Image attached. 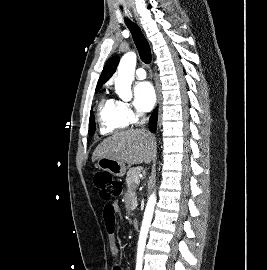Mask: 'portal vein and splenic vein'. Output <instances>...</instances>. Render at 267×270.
Wrapping results in <instances>:
<instances>
[{"mask_svg":"<svg viewBox=\"0 0 267 270\" xmlns=\"http://www.w3.org/2000/svg\"><path fill=\"white\" fill-rule=\"evenodd\" d=\"M139 182H140L139 178H136L135 183H139Z\"/></svg>","mask_w":267,"mask_h":270,"instance_id":"obj_1","label":"portal vein and splenic vein"}]
</instances>
